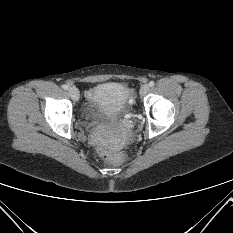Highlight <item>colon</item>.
Segmentation results:
<instances>
[{
  "label": "colon",
  "mask_w": 233,
  "mask_h": 233,
  "mask_svg": "<svg viewBox=\"0 0 233 233\" xmlns=\"http://www.w3.org/2000/svg\"><path fill=\"white\" fill-rule=\"evenodd\" d=\"M100 156L103 160L109 161V162H112L116 159L113 154H111L109 151L104 150V149L100 150Z\"/></svg>",
  "instance_id": "obj_1"
}]
</instances>
